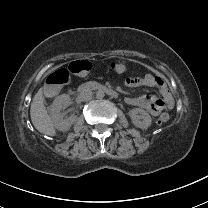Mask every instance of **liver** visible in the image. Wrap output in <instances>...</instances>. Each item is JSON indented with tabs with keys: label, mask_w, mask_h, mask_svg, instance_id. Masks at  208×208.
<instances>
[{
	"label": "liver",
	"mask_w": 208,
	"mask_h": 208,
	"mask_svg": "<svg viewBox=\"0 0 208 208\" xmlns=\"http://www.w3.org/2000/svg\"><path fill=\"white\" fill-rule=\"evenodd\" d=\"M44 88L41 87L35 94L30 107L31 121L35 129L44 135L56 136V129L53 121L47 112L45 98L43 96Z\"/></svg>",
	"instance_id": "liver-1"
}]
</instances>
